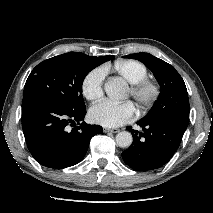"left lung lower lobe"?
<instances>
[{
	"label": "left lung lower lobe",
	"instance_id": "0a47b994",
	"mask_svg": "<svg viewBox=\"0 0 213 213\" xmlns=\"http://www.w3.org/2000/svg\"><path fill=\"white\" fill-rule=\"evenodd\" d=\"M143 132L127 127L132 145L122 153L124 162L136 171H149L166 164L178 149L188 124L172 119L139 121Z\"/></svg>",
	"mask_w": 213,
	"mask_h": 213
}]
</instances>
